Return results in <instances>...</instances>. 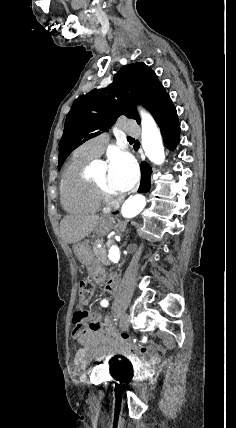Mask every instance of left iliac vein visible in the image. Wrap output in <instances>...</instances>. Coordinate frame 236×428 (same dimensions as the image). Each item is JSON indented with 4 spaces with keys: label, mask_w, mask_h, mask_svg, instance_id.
Segmentation results:
<instances>
[{
    "label": "left iliac vein",
    "mask_w": 236,
    "mask_h": 428,
    "mask_svg": "<svg viewBox=\"0 0 236 428\" xmlns=\"http://www.w3.org/2000/svg\"><path fill=\"white\" fill-rule=\"evenodd\" d=\"M130 325H131V322H130V318L128 317V316H123L122 318H121V322H120V325H119V329L117 330L119 333L121 332H126L127 330V328H129L130 327Z\"/></svg>",
    "instance_id": "obj_1"
}]
</instances>
